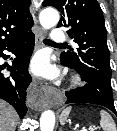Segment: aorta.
I'll use <instances>...</instances> for the list:
<instances>
[{"label": "aorta", "mask_w": 117, "mask_h": 131, "mask_svg": "<svg viewBox=\"0 0 117 131\" xmlns=\"http://www.w3.org/2000/svg\"><path fill=\"white\" fill-rule=\"evenodd\" d=\"M60 19L59 13L53 8H46L39 15L40 24L44 29L54 27ZM55 125V114L52 110H46L40 117V130L53 131Z\"/></svg>", "instance_id": "obj_1"}]
</instances>
